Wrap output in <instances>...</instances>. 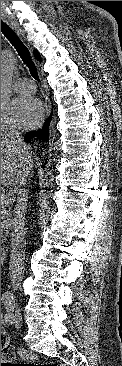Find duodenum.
<instances>
[{
	"label": "duodenum",
	"instance_id": "duodenum-1",
	"mask_svg": "<svg viewBox=\"0 0 122 366\" xmlns=\"http://www.w3.org/2000/svg\"><path fill=\"white\" fill-rule=\"evenodd\" d=\"M8 253H9V250H8V248H7V247H1V261L3 260V258H4L5 256H7V255H8Z\"/></svg>",
	"mask_w": 122,
	"mask_h": 366
}]
</instances>
